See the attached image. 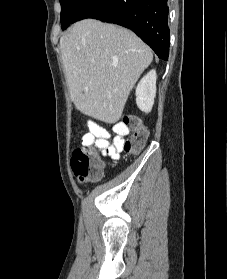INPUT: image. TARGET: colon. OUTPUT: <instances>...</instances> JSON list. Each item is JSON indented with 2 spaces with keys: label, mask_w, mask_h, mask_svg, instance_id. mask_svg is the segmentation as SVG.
Masks as SVG:
<instances>
[{
  "label": "colon",
  "mask_w": 227,
  "mask_h": 279,
  "mask_svg": "<svg viewBox=\"0 0 227 279\" xmlns=\"http://www.w3.org/2000/svg\"><path fill=\"white\" fill-rule=\"evenodd\" d=\"M122 122L132 129L131 137L124 144L125 151L129 154L139 153L147 142V129L135 117L125 116ZM92 142L90 134H85L71 158L74 174L83 182L97 179L103 168V161L98 152L90 147Z\"/></svg>",
  "instance_id": "1"
}]
</instances>
